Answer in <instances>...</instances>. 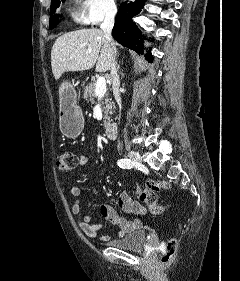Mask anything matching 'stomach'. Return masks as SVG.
<instances>
[{
	"instance_id": "1",
	"label": "stomach",
	"mask_w": 240,
	"mask_h": 281,
	"mask_svg": "<svg viewBox=\"0 0 240 281\" xmlns=\"http://www.w3.org/2000/svg\"><path fill=\"white\" fill-rule=\"evenodd\" d=\"M59 124L61 132L70 138L77 137L83 130L84 117L77 104V93L70 82H63L60 90Z\"/></svg>"
}]
</instances>
